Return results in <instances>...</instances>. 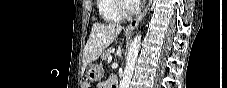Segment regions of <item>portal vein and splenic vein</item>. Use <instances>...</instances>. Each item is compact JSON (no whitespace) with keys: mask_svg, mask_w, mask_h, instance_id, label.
<instances>
[{"mask_svg":"<svg viewBox=\"0 0 227 88\" xmlns=\"http://www.w3.org/2000/svg\"><path fill=\"white\" fill-rule=\"evenodd\" d=\"M112 61V56H109L108 57V62H111Z\"/></svg>","mask_w":227,"mask_h":88,"instance_id":"portal-vein-and-splenic-vein-1","label":"portal vein and splenic vein"}]
</instances>
